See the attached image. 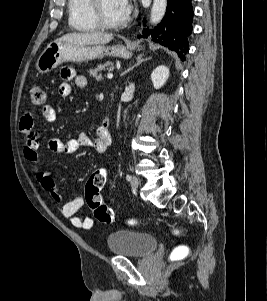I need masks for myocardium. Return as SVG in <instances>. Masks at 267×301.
<instances>
[{
  "label": "myocardium",
  "mask_w": 267,
  "mask_h": 301,
  "mask_svg": "<svg viewBox=\"0 0 267 301\" xmlns=\"http://www.w3.org/2000/svg\"><path fill=\"white\" fill-rule=\"evenodd\" d=\"M91 14L99 28L107 30L120 29L129 23L130 16L127 14L124 19L119 22H108L102 14V0H91Z\"/></svg>",
  "instance_id": "1"
}]
</instances>
